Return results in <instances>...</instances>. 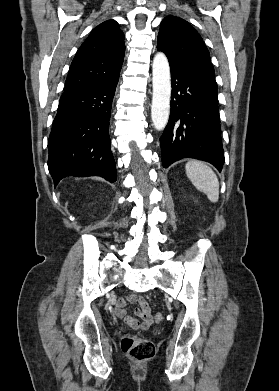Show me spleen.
<instances>
[{"label": "spleen", "mask_w": 279, "mask_h": 391, "mask_svg": "<svg viewBox=\"0 0 279 391\" xmlns=\"http://www.w3.org/2000/svg\"><path fill=\"white\" fill-rule=\"evenodd\" d=\"M187 177L207 198L215 203L219 199V181L214 171L200 161H189L185 166Z\"/></svg>", "instance_id": "1"}]
</instances>
